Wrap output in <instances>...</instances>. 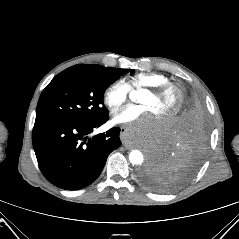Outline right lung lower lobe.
I'll return each mask as SVG.
<instances>
[{
	"mask_svg": "<svg viewBox=\"0 0 239 239\" xmlns=\"http://www.w3.org/2000/svg\"><path fill=\"white\" fill-rule=\"evenodd\" d=\"M108 115L94 122L35 121L32 141L39 168L57 187L78 190L100 175L108 155L121 145L120 128L88 137Z\"/></svg>",
	"mask_w": 239,
	"mask_h": 239,
	"instance_id": "98d812e1",
	"label": "right lung lower lobe"
}]
</instances>
